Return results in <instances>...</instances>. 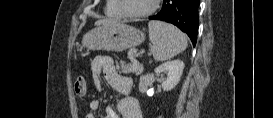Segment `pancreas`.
Returning <instances> with one entry per match:
<instances>
[{
    "mask_svg": "<svg viewBox=\"0 0 273 118\" xmlns=\"http://www.w3.org/2000/svg\"><path fill=\"white\" fill-rule=\"evenodd\" d=\"M128 58L130 59L131 63L126 64L123 61L120 62L121 71L126 74L137 72L139 70V66L135 60V56L133 54H130Z\"/></svg>",
    "mask_w": 273,
    "mask_h": 118,
    "instance_id": "cf45deb5",
    "label": "pancreas"
}]
</instances>
